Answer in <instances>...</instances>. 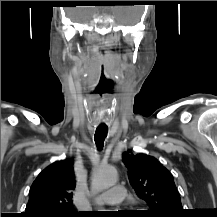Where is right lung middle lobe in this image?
Returning <instances> with one entry per match:
<instances>
[{
    "instance_id": "right-lung-middle-lobe-1",
    "label": "right lung middle lobe",
    "mask_w": 217,
    "mask_h": 217,
    "mask_svg": "<svg viewBox=\"0 0 217 217\" xmlns=\"http://www.w3.org/2000/svg\"><path fill=\"white\" fill-rule=\"evenodd\" d=\"M59 217H77V215H63V216H59Z\"/></svg>"
}]
</instances>
